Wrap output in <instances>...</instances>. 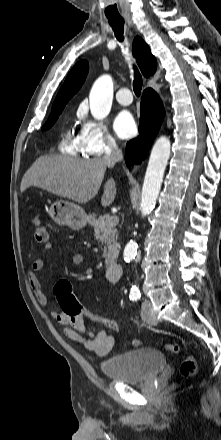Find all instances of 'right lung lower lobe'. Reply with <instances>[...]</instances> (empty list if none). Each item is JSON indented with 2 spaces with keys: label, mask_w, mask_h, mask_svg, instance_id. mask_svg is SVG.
Masks as SVG:
<instances>
[{
  "label": "right lung lower lobe",
  "mask_w": 221,
  "mask_h": 440,
  "mask_svg": "<svg viewBox=\"0 0 221 440\" xmlns=\"http://www.w3.org/2000/svg\"><path fill=\"white\" fill-rule=\"evenodd\" d=\"M165 111L158 94L146 89L142 94L140 110V135L126 145V164L140 163L146 157L150 146L157 135Z\"/></svg>",
  "instance_id": "98d812e1"
}]
</instances>
